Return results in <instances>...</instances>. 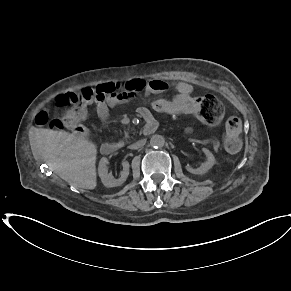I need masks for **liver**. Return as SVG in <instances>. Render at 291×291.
<instances>
[{"mask_svg":"<svg viewBox=\"0 0 291 291\" xmlns=\"http://www.w3.org/2000/svg\"><path fill=\"white\" fill-rule=\"evenodd\" d=\"M30 146L36 160L45 161L63 180L74 187L97 186V146L66 131L32 128Z\"/></svg>","mask_w":291,"mask_h":291,"instance_id":"6515ba94","label":"liver"}]
</instances>
